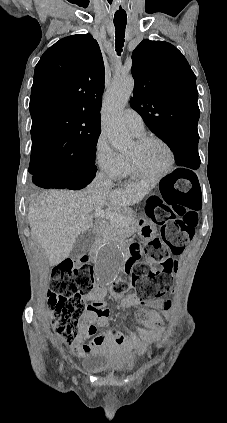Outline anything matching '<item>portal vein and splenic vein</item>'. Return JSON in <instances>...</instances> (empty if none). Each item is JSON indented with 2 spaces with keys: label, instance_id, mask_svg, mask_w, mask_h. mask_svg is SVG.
Returning <instances> with one entry per match:
<instances>
[{
  "label": "portal vein and splenic vein",
  "instance_id": "obj_1",
  "mask_svg": "<svg viewBox=\"0 0 227 423\" xmlns=\"http://www.w3.org/2000/svg\"><path fill=\"white\" fill-rule=\"evenodd\" d=\"M95 217H104V219H115V221H121V223H124V221H130V217H125V215H122V213H118V211H112V210H102L101 214H94Z\"/></svg>",
  "mask_w": 227,
  "mask_h": 423
}]
</instances>
